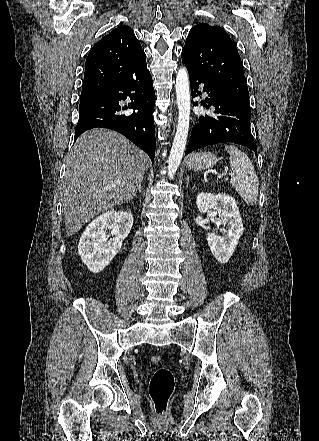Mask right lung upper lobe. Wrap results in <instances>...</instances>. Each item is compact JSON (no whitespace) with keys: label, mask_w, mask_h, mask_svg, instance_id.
Instances as JSON below:
<instances>
[{"label":"right lung upper lobe","mask_w":319,"mask_h":441,"mask_svg":"<svg viewBox=\"0 0 319 441\" xmlns=\"http://www.w3.org/2000/svg\"><path fill=\"white\" fill-rule=\"evenodd\" d=\"M146 69V55L133 30L118 26L91 49L85 63L80 101Z\"/></svg>","instance_id":"cb5924a9"}]
</instances>
